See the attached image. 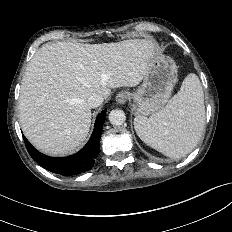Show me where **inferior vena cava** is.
I'll use <instances>...</instances> for the list:
<instances>
[{
    "label": "inferior vena cava",
    "instance_id": "inferior-vena-cava-1",
    "mask_svg": "<svg viewBox=\"0 0 232 232\" xmlns=\"http://www.w3.org/2000/svg\"><path fill=\"white\" fill-rule=\"evenodd\" d=\"M104 101V97L102 94L99 93H93L88 99L87 103L90 108H95L100 106Z\"/></svg>",
    "mask_w": 232,
    "mask_h": 232
}]
</instances>
